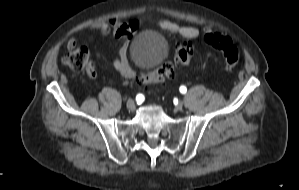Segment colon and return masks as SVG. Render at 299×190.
Instances as JSON below:
<instances>
[{
  "label": "colon",
  "instance_id": "colon-1",
  "mask_svg": "<svg viewBox=\"0 0 299 190\" xmlns=\"http://www.w3.org/2000/svg\"><path fill=\"white\" fill-rule=\"evenodd\" d=\"M205 42L219 51L224 59L226 69H233L240 60L238 48L232 40L216 32H208L204 36ZM62 57V63L72 72L82 71L89 58V51L84 46L74 45ZM194 55V47L189 42L180 43L174 49L173 61H165L151 70L144 72L138 79L144 86L162 84L166 78L174 75L175 68L188 64Z\"/></svg>",
  "mask_w": 299,
  "mask_h": 190
}]
</instances>
